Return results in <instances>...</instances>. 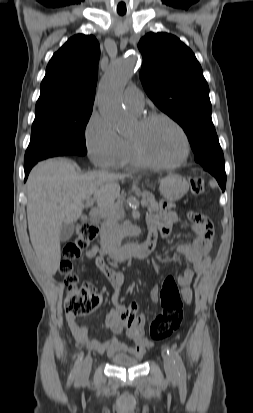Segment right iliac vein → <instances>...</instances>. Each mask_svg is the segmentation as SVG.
Here are the masks:
<instances>
[{
	"label": "right iliac vein",
	"mask_w": 253,
	"mask_h": 413,
	"mask_svg": "<svg viewBox=\"0 0 253 413\" xmlns=\"http://www.w3.org/2000/svg\"><path fill=\"white\" fill-rule=\"evenodd\" d=\"M91 365H92V358L90 355H88L81 368L79 369L78 375H77V379L79 381H85L88 379L89 374H90V370H91Z\"/></svg>",
	"instance_id": "obj_1"
}]
</instances>
